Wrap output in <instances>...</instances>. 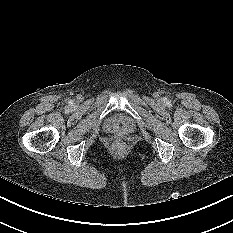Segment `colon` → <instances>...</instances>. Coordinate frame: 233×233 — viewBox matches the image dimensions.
I'll list each match as a JSON object with an SVG mask.
<instances>
[{
  "mask_svg": "<svg viewBox=\"0 0 233 233\" xmlns=\"http://www.w3.org/2000/svg\"><path fill=\"white\" fill-rule=\"evenodd\" d=\"M114 146H115L116 148H120V147H121V143H120V142H115V143H114Z\"/></svg>",
  "mask_w": 233,
  "mask_h": 233,
  "instance_id": "obj_1",
  "label": "colon"
}]
</instances>
